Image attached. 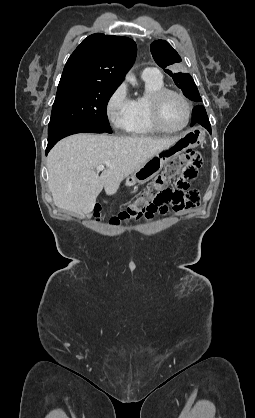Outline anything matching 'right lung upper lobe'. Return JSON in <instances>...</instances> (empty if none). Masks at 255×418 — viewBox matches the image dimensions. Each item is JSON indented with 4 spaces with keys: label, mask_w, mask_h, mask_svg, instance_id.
I'll list each match as a JSON object with an SVG mask.
<instances>
[{
    "label": "right lung upper lobe",
    "mask_w": 255,
    "mask_h": 418,
    "mask_svg": "<svg viewBox=\"0 0 255 418\" xmlns=\"http://www.w3.org/2000/svg\"><path fill=\"white\" fill-rule=\"evenodd\" d=\"M137 53L127 37L92 34L67 60L59 85L79 83L118 87Z\"/></svg>",
    "instance_id": "obj_1"
}]
</instances>
